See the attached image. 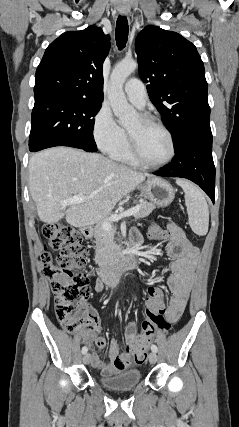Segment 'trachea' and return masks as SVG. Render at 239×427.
Segmentation results:
<instances>
[{"mask_svg":"<svg viewBox=\"0 0 239 427\" xmlns=\"http://www.w3.org/2000/svg\"><path fill=\"white\" fill-rule=\"evenodd\" d=\"M128 21L125 16H119L116 23V43L121 50L126 46L128 40Z\"/></svg>","mask_w":239,"mask_h":427,"instance_id":"trachea-1","label":"trachea"}]
</instances>
